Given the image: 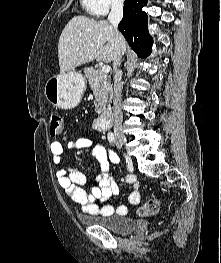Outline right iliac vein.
Instances as JSON below:
<instances>
[{
    "instance_id": "right-iliac-vein-1",
    "label": "right iliac vein",
    "mask_w": 221,
    "mask_h": 263,
    "mask_svg": "<svg viewBox=\"0 0 221 263\" xmlns=\"http://www.w3.org/2000/svg\"><path fill=\"white\" fill-rule=\"evenodd\" d=\"M117 141H118V143H119L121 146H123V145L126 144V139H125V137H123V136H119V137L117 138Z\"/></svg>"
}]
</instances>
